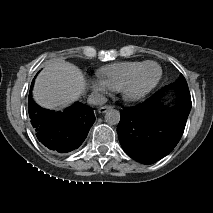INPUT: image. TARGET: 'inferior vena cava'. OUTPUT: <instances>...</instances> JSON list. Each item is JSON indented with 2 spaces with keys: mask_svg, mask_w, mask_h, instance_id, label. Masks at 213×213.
Here are the masks:
<instances>
[{
  "mask_svg": "<svg viewBox=\"0 0 213 213\" xmlns=\"http://www.w3.org/2000/svg\"><path fill=\"white\" fill-rule=\"evenodd\" d=\"M87 102L91 105H104L107 102V98L98 92L91 93Z\"/></svg>",
  "mask_w": 213,
  "mask_h": 213,
  "instance_id": "obj_1",
  "label": "inferior vena cava"
}]
</instances>
